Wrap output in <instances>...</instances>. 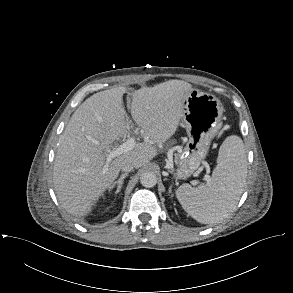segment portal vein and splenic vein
I'll list each match as a JSON object with an SVG mask.
<instances>
[{
	"instance_id": "18ae733b",
	"label": "portal vein and splenic vein",
	"mask_w": 293,
	"mask_h": 293,
	"mask_svg": "<svg viewBox=\"0 0 293 293\" xmlns=\"http://www.w3.org/2000/svg\"><path fill=\"white\" fill-rule=\"evenodd\" d=\"M136 146V141L134 137H129L126 142L122 143L118 147H114L112 149L106 150V165L104 167V171L107 169L108 164L114 159L115 157L127 153L133 150ZM204 180L209 181V175L204 176Z\"/></svg>"
}]
</instances>
